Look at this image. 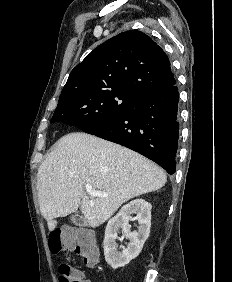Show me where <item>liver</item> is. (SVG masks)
Returning a JSON list of instances; mask_svg holds the SVG:
<instances>
[{"instance_id":"6515ba94","label":"liver","mask_w":232,"mask_h":282,"mask_svg":"<svg viewBox=\"0 0 232 282\" xmlns=\"http://www.w3.org/2000/svg\"><path fill=\"white\" fill-rule=\"evenodd\" d=\"M166 181L163 169L142 155L96 136L72 132L56 142L38 169V202L50 231L56 228V218L79 207L94 228L129 199L156 191ZM86 185L108 196H88Z\"/></svg>"}]
</instances>
